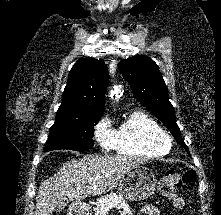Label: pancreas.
<instances>
[{"label": "pancreas", "instance_id": "pancreas-1", "mask_svg": "<svg viewBox=\"0 0 221 215\" xmlns=\"http://www.w3.org/2000/svg\"><path fill=\"white\" fill-rule=\"evenodd\" d=\"M128 209L129 205L116 193H110L106 196L99 198L96 207L94 208L95 215H107L112 209Z\"/></svg>", "mask_w": 221, "mask_h": 215}]
</instances>
